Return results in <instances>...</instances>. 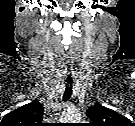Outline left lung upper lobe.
<instances>
[{
	"mask_svg": "<svg viewBox=\"0 0 135 126\" xmlns=\"http://www.w3.org/2000/svg\"><path fill=\"white\" fill-rule=\"evenodd\" d=\"M87 116L92 121L91 126H125L130 123L126 117L98 102L87 109Z\"/></svg>",
	"mask_w": 135,
	"mask_h": 126,
	"instance_id": "left-lung-upper-lobe-1",
	"label": "left lung upper lobe"
}]
</instances>
